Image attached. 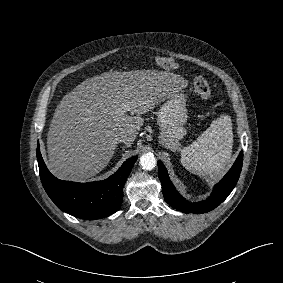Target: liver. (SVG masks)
<instances>
[{"mask_svg":"<svg viewBox=\"0 0 283 283\" xmlns=\"http://www.w3.org/2000/svg\"><path fill=\"white\" fill-rule=\"evenodd\" d=\"M186 86L181 76L155 70L110 71L86 79L55 110L47 136L48 169L61 180L95 176L113 157L117 136H126L129 147L143 125L140 115ZM123 107L131 116L120 114Z\"/></svg>","mask_w":283,"mask_h":283,"instance_id":"liver-1","label":"liver"}]
</instances>
